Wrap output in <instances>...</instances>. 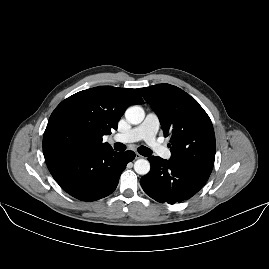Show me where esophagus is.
<instances>
[{
    "label": "esophagus",
    "instance_id": "obj_1",
    "mask_svg": "<svg viewBox=\"0 0 269 269\" xmlns=\"http://www.w3.org/2000/svg\"><path fill=\"white\" fill-rule=\"evenodd\" d=\"M135 158H136V159H139V158H142V156H141L139 153L136 152V153H135Z\"/></svg>",
    "mask_w": 269,
    "mask_h": 269
}]
</instances>
